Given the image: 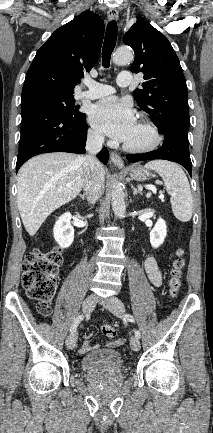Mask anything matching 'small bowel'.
Returning <instances> with one entry per match:
<instances>
[{
  "label": "small bowel",
  "instance_id": "1",
  "mask_svg": "<svg viewBox=\"0 0 213 433\" xmlns=\"http://www.w3.org/2000/svg\"><path fill=\"white\" fill-rule=\"evenodd\" d=\"M144 267L150 282L155 287H160L162 285V272L160 270L157 260L153 256H148L144 261ZM123 343H124V339L118 338L115 339L114 341L107 343V346L118 347ZM93 348L94 347L89 343L88 336H87L79 352L81 354H84L91 351Z\"/></svg>",
  "mask_w": 213,
  "mask_h": 433
}]
</instances>
